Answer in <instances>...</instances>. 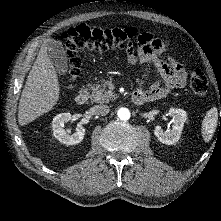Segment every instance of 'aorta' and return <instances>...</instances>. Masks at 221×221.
Wrapping results in <instances>:
<instances>
[{"mask_svg":"<svg viewBox=\"0 0 221 221\" xmlns=\"http://www.w3.org/2000/svg\"><path fill=\"white\" fill-rule=\"evenodd\" d=\"M119 119L126 121L130 118V111L127 108H120L117 112Z\"/></svg>","mask_w":221,"mask_h":221,"instance_id":"obj_1","label":"aorta"}]
</instances>
